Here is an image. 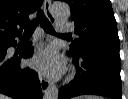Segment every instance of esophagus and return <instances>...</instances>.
I'll return each mask as SVG.
<instances>
[{
  "instance_id": "34e87169",
  "label": "esophagus",
  "mask_w": 128,
  "mask_h": 99,
  "mask_svg": "<svg viewBox=\"0 0 128 99\" xmlns=\"http://www.w3.org/2000/svg\"><path fill=\"white\" fill-rule=\"evenodd\" d=\"M44 12L48 20L55 23V18L51 12V0H44ZM40 85L43 93H46L50 88V82L43 77L40 78Z\"/></svg>"
}]
</instances>
